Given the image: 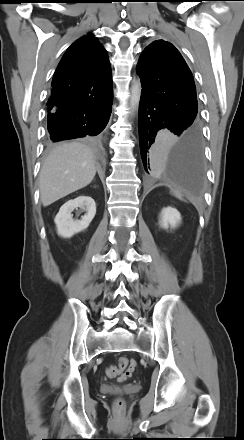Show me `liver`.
I'll use <instances>...</instances> for the list:
<instances>
[{"label": "liver", "instance_id": "6515ba94", "mask_svg": "<svg viewBox=\"0 0 244 440\" xmlns=\"http://www.w3.org/2000/svg\"><path fill=\"white\" fill-rule=\"evenodd\" d=\"M96 174L94 151L80 142L56 146L44 160L39 174L44 207L91 183Z\"/></svg>", "mask_w": 244, "mask_h": 440}]
</instances>
